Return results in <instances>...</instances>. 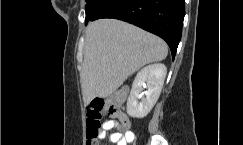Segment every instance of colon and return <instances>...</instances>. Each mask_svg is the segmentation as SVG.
<instances>
[{"label":"colon","instance_id":"1","mask_svg":"<svg viewBox=\"0 0 243 145\" xmlns=\"http://www.w3.org/2000/svg\"><path fill=\"white\" fill-rule=\"evenodd\" d=\"M122 95H115L113 98L95 99L86 110V145H97L96 139L101 127V119L107 114L111 117H117L119 114L118 104L122 101ZM122 126L127 127L128 121L122 120Z\"/></svg>","mask_w":243,"mask_h":145}]
</instances>
